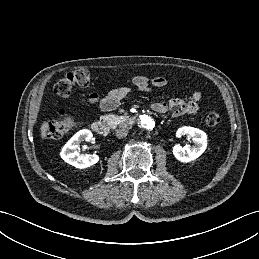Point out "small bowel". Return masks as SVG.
Instances as JSON below:
<instances>
[{
    "mask_svg": "<svg viewBox=\"0 0 259 259\" xmlns=\"http://www.w3.org/2000/svg\"><path fill=\"white\" fill-rule=\"evenodd\" d=\"M133 85L140 91L149 92L154 88H162L167 84V80L163 76H153L149 78L143 74H136L131 79ZM128 87H118L112 89L107 95L100 97L93 92L86 98L80 99V104H96L103 111H111L116 109L121 102L129 94ZM202 98L200 92L192 93L187 100L181 98H171L167 102L156 101L152 103L151 108L158 113H165L170 109H175L174 116L192 115L197 113L198 105Z\"/></svg>",
    "mask_w": 259,
    "mask_h": 259,
    "instance_id": "obj_1",
    "label": "small bowel"
}]
</instances>
